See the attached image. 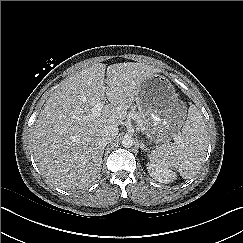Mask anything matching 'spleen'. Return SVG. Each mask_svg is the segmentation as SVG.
<instances>
[{
    "instance_id": "3e777b00",
    "label": "spleen",
    "mask_w": 243,
    "mask_h": 243,
    "mask_svg": "<svg viewBox=\"0 0 243 243\" xmlns=\"http://www.w3.org/2000/svg\"><path fill=\"white\" fill-rule=\"evenodd\" d=\"M207 149V130L201 112L195 105L188 109L182 133L173 143L161 145L149 155L152 163L171 168L185 178H191L200 168Z\"/></svg>"
}]
</instances>
